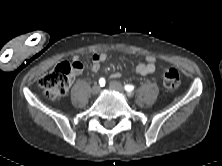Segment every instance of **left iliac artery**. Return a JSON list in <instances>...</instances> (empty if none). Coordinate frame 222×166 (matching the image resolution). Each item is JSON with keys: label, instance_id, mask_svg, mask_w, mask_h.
Wrapping results in <instances>:
<instances>
[{"label": "left iliac artery", "instance_id": "1", "mask_svg": "<svg viewBox=\"0 0 222 166\" xmlns=\"http://www.w3.org/2000/svg\"><path fill=\"white\" fill-rule=\"evenodd\" d=\"M124 89H125V90L128 92V94H129V93H131V92L134 90V86L127 84V85L124 86Z\"/></svg>", "mask_w": 222, "mask_h": 166}]
</instances>
